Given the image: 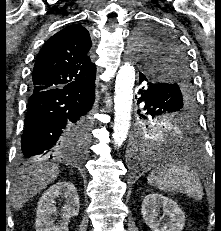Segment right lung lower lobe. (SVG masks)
I'll use <instances>...</instances> for the list:
<instances>
[{"instance_id": "1", "label": "right lung lower lobe", "mask_w": 221, "mask_h": 231, "mask_svg": "<svg viewBox=\"0 0 221 231\" xmlns=\"http://www.w3.org/2000/svg\"><path fill=\"white\" fill-rule=\"evenodd\" d=\"M94 82L31 94L19 152L21 161L85 155L88 144L73 129L89 119L95 99Z\"/></svg>"}]
</instances>
